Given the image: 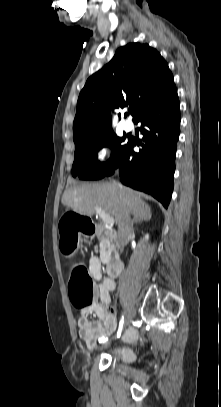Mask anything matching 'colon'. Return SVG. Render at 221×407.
Wrapping results in <instances>:
<instances>
[{
  "label": "colon",
  "instance_id": "5ec220e1",
  "mask_svg": "<svg viewBox=\"0 0 221 407\" xmlns=\"http://www.w3.org/2000/svg\"><path fill=\"white\" fill-rule=\"evenodd\" d=\"M61 247L69 254L75 248L77 239H95L100 231V222H94L93 216H80L78 210H67L59 217ZM69 295L73 305L79 309L90 306L93 296V280L90 272L81 265L74 267L69 281Z\"/></svg>",
  "mask_w": 221,
  "mask_h": 407
}]
</instances>
